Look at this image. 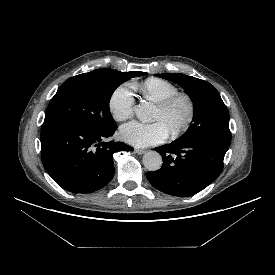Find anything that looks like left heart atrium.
Wrapping results in <instances>:
<instances>
[{
    "instance_id": "obj_1",
    "label": "left heart atrium",
    "mask_w": 275,
    "mask_h": 275,
    "mask_svg": "<svg viewBox=\"0 0 275 275\" xmlns=\"http://www.w3.org/2000/svg\"><path fill=\"white\" fill-rule=\"evenodd\" d=\"M120 136L123 141L135 147H148L164 142L169 136V130L161 121H131L121 127Z\"/></svg>"
}]
</instances>
